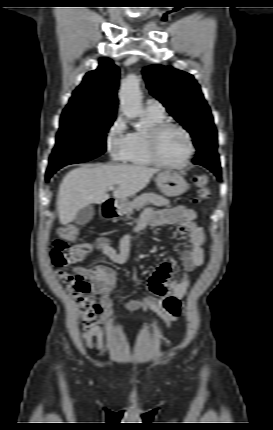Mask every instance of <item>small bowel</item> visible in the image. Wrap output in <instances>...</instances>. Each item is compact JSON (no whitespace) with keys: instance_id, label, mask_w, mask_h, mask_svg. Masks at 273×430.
Returning <instances> with one entry per match:
<instances>
[{"instance_id":"c3829d8e","label":"small bowel","mask_w":273,"mask_h":430,"mask_svg":"<svg viewBox=\"0 0 273 430\" xmlns=\"http://www.w3.org/2000/svg\"><path fill=\"white\" fill-rule=\"evenodd\" d=\"M196 216L194 210L183 205L167 209L148 208L143 212L133 230L137 232L147 225L156 227L179 223L180 231L189 236V249L182 253L184 273L181 278L172 279V274L176 269L173 261L162 263L149 278L145 287L146 294L127 302V308L130 311L152 310L163 320L167 328L178 321L180 300L190 287L189 274L205 261L203 250L205 235L202 227L196 222ZM130 241L131 234L124 235L120 241L119 250H116L108 239L101 237L96 240L95 247L111 261L120 265L129 255ZM74 271L89 279L86 284L90 285L92 282L90 285L92 292L100 296L103 313L96 318L94 324L85 333L84 339L89 349L97 350L103 355L106 351V343L101 325L109 324L111 320L112 294L116 287L118 270L98 264L92 268L77 266Z\"/></svg>"}]
</instances>
